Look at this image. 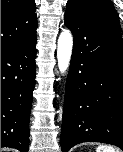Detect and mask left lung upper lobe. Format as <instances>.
Wrapping results in <instances>:
<instances>
[{
  "instance_id": "obj_1",
  "label": "left lung upper lobe",
  "mask_w": 123,
  "mask_h": 152,
  "mask_svg": "<svg viewBox=\"0 0 123 152\" xmlns=\"http://www.w3.org/2000/svg\"><path fill=\"white\" fill-rule=\"evenodd\" d=\"M75 11L120 36L118 15L110 0H68L66 12Z\"/></svg>"
}]
</instances>
